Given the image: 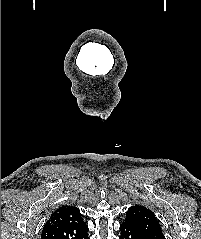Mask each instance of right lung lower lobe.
I'll return each instance as SVG.
<instances>
[{"label":"right lung lower lobe","mask_w":201,"mask_h":239,"mask_svg":"<svg viewBox=\"0 0 201 239\" xmlns=\"http://www.w3.org/2000/svg\"><path fill=\"white\" fill-rule=\"evenodd\" d=\"M85 239H89L88 236H87V234H86V236H85Z\"/></svg>","instance_id":"obj_1"}]
</instances>
